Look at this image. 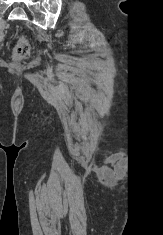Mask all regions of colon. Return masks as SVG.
Masks as SVG:
<instances>
[{"instance_id": "obj_1", "label": "colon", "mask_w": 163, "mask_h": 235, "mask_svg": "<svg viewBox=\"0 0 163 235\" xmlns=\"http://www.w3.org/2000/svg\"><path fill=\"white\" fill-rule=\"evenodd\" d=\"M30 47L27 40L23 36L18 37V42L14 49V59L21 61L26 59L29 55Z\"/></svg>"}]
</instances>
